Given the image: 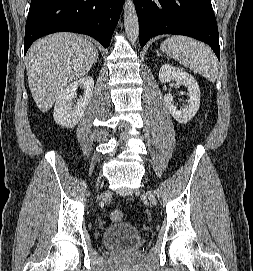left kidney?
<instances>
[{"label":"left kidney","mask_w":253,"mask_h":271,"mask_svg":"<svg viewBox=\"0 0 253 271\" xmlns=\"http://www.w3.org/2000/svg\"><path fill=\"white\" fill-rule=\"evenodd\" d=\"M159 80L162 83L175 80L176 83L184 85L188 91V105L178 108L170 93L164 95V103L173 118L179 123L189 122L197 113L200 107V89L197 81L184 70L169 64H164L159 71Z\"/></svg>","instance_id":"1"}]
</instances>
